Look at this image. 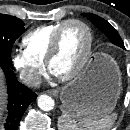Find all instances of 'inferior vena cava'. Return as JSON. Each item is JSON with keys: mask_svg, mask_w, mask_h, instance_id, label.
Segmentation results:
<instances>
[{"mask_svg": "<svg viewBox=\"0 0 130 130\" xmlns=\"http://www.w3.org/2000/svg\"><path fill=\"white\" fill-rule=\"evenodd\" d=\"M23 82L31 87H37L41 84V77L34 74H25L22 75Z\"/></svg>", "mask_w": 130, "mask_h": 130, "instance_id": "inferior-vena-cava-1", "label": "inferior vena cava"}]
</instances>
